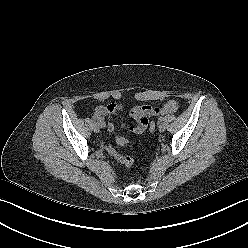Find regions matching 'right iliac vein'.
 I'll list each match as a JSON object with an SVG mask.
<instances>
[{
	"instance_id": "obj_1",
	"label": "right iliac vein",
	"mask_w": 248,
	"mask_h": 248,
	"mask_svg": "<svg viewBox=\"0 0 248 248\" xmlns=\"http://www.w3.org/2000/svg\"><path fill=\"white\" fill-rule=\"evenodd\" d=\"M93 130H94L95 133H98L100 131L99 125L98 124H94L93 125Z\"/></svg>"
}]
</instances>
